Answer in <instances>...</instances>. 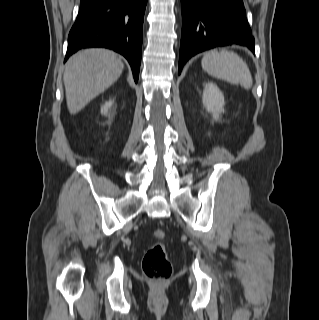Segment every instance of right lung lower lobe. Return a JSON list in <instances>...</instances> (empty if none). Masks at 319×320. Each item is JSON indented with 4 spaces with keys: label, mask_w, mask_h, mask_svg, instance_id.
I'll list each match as a JSON object with an SVG mask.
<instances>
[{
    "label": "right lung lower lobe",
    "mask_w": 319,
    "mask_h": 320,
    "mask_svg": "<svg viewBox=\"0 0 319 320\" xmlns=\"http://www.w3.org/2000/svg\"><path fill=\"white\" fill-rule=\"evenodd\" d=\"M147 0H80V10L68 36L65 61L77 50L106 47L129 61L138 81L143 18Z\"/></svg>",
    "instance_id": "right-lung-lower-lobe-1"
}]
</instances>
